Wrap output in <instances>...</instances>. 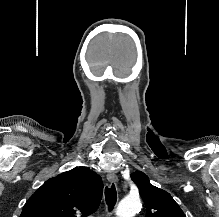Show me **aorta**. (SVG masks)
Listing matches in <instances>:
<instances>
[{
	"label": "aorta",
	"mask_w": 219,
	"mask_h": 217,
	"mask_svg": "<svg viewBox=\"0 0 219 217\" xmlns=\"http://www.w3.org/2000/svg\"><path fill=\"white\" fill-rule=\"evenodd\" d=\"M139 197H127L123 199L116 210L117 217H134L141 209Z\"/></svg>",
	"instance_id": "1"
}]
</instances>
